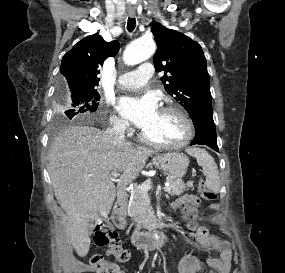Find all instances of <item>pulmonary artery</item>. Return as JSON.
<instances>
[{"mask_svg":"<svg viewBox=\"0 0 285 273\" xmlns=\"http://www.w3.org/2000/svg\"><path fill=\"white\" fill-rule=\"evenodd\" d=\"M152 63H142L136 70L125 72L118 77L117 84L122 89H135L144 86L152 77Z\"/></svg>","mask_w":285,"mask_h":273,"instance_id":"obj_1","label":"pulmonary artery"}]
</instances>
